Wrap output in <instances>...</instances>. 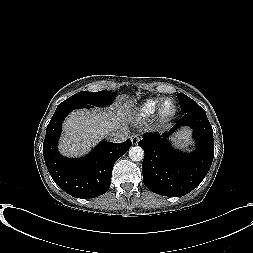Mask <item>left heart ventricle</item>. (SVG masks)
Masks as SVG:
<instances>
[{"instance_id":"1","label":"left heart ventricle","mask_w":253,"mask_h":253,"mask_svg":"<svg viewBox=\"0 0 253 253\" xmlns=\"http://www.w3.org/2000/svg\"><path fill=\"white\" fill-rule=\"evenodd\" d=\"M173 109V104L171 102H167L164 106L165 112H170Z\"/></svg>"}]
</instances>
